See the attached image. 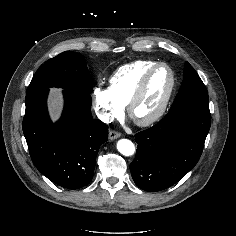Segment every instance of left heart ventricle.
<instances>
[{"mask_svg": "<svg viewBox=\"0 0 236 236\" xmlns=\"http://www.w3.org/2000/svg\"><path fill=\"white\" fill-rule=\"evenodd\" d=\"M170 83L169 71L162 67L157 69L151 76L146 90L133 110L135 119L150 117L160 106Z\"/></svg>", "mask_w": 236, "mask_h": 236, "instance_id": "b2bd125f", "label": "left heart ventricle"}]
</instances>
